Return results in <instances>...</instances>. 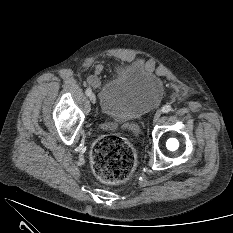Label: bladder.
<instances>
[{
	"mask_svg": "<svg viewBox=\"0 0 233 233\" xmlns=\"http://www.w3.org/2000/svg\"><path fill=\"white\" fill-rule=\"evenodd\" d=\"M164 83L143 64L121 67L116 76L99 88V106L104 115L128 122L154 109L164 96Z\"/></svg>",
	"mask_w": 233,
	"mask_h": 233,
	"instance_id": "obj_1",
	"label": "bladder"
}]
</instances>
